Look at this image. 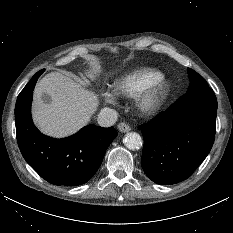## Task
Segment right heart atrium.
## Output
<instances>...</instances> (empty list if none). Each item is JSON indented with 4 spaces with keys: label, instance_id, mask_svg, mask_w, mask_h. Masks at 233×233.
Segmentation results:
<instances>
[{
    "label": "right heart atrium",
    "instance_id": "right-heart-atrium-1",
    "mask_svg": "<svg viewBox=\"0 0 233 233\" xmlns=\"http://www.w3.org/2000/svg\"><path fill=\"white\" fill-rule=\"evenodd\" d=\"M103 99L107 102V103H114L116 100V93L112 90H105L102 93Z\"/></svg>",
    "mask_w": 233,
    "mask_h": 233
}]
</instances>
